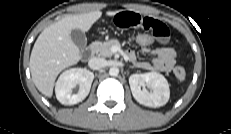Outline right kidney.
<instances>
[{
	"mask_svg": "<svg viewBox=\"0 0 231 134\" xmlns=\"http://www.w3.org/2000/svg\"><path fill=\"white\" fill-rule=\"evenodd\" d=\"M94 75L82 68H71L64 71L56 82L55 93L57 100L64 105H73L83 101L90 92ZM80 86L77 94L72 89Z\"/></svg>",
	"mask_w": 231,
	"mask_h": 134,
	"instance_id": "ca27d5eb",
	"label": "right kidney"
}]
</instances>
